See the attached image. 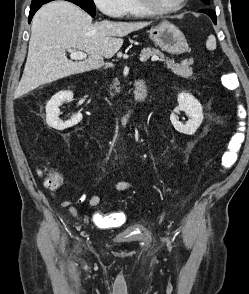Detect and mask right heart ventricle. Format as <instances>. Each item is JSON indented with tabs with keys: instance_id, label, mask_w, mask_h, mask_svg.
<instances>
[{
	"instance_id": "right-heart-ventricle-1",
	"label": "right heart ventricle",
	"mask_w": 249,
	"mask_h": 294,
	"mask_svg": "<svg viewBox=\"0 0 249 294\" xmlns=\"http://www.w3.org/2000/svg\"><path fill=\"white\" fill-rule=\"evenodd\" d=\"M146 12L139 6L137 0H123L121 16H146Z\"/></svg>"
}]
</instances>
